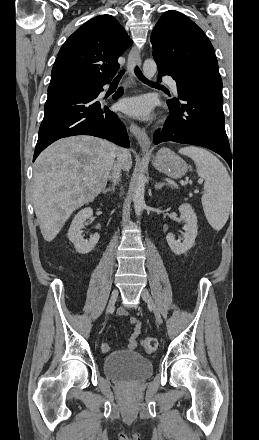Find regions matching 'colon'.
Wrapping results in <instances>:
<instances>
[{
  "mask_svg": "<svg viewBox=\"0 0 259 440\" xmlns=\"http://www.w3.org/2000/svg\"><path fill=\"white\" fill-rule=\"evenodd\" d=\"M142 347L145 352L153 353L158 348V341L154 337H146L142 340Z\"/></svg>",
  "mask_w": 259,
  "mask_h": 440,
  "instance_id": "colon-1",
  "label": "colon"
}]
</instances>
